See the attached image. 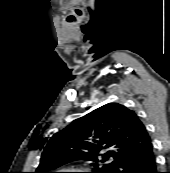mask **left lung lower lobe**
Wrapping results in <instances>:
<instances>
[{
  "label": "left lung lower lobe",
  "mask_w": 170,
  "mask_h": 173,
  "mask_svg": "<svg viewBox=\"0 0 170 173\" xmlns=\"http://www.w3.org/2000/svg\"><path fill=\"white\" fill-rule=\"evenodd\" d=\"M113 173H158L152 142L134 153L127 154Z\"/></svg>",
  "instance_id": "1"
}]
</instances>
